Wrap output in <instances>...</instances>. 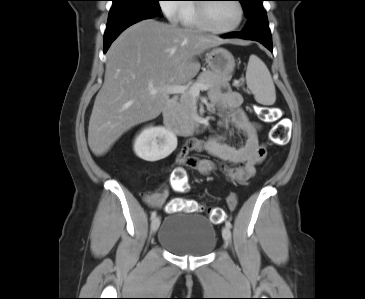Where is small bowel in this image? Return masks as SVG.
I'll list each match as a JSON object with an SVG mask.
<instances>
[{"label": "small bowel", "mask_w": 365, "mask_h": 299, "mask_svg": "<svg viewBox=\"0 0 365 299\" xmlns=\"http://www.w3.org/2000/svg\"><path fill=\"white\" fill-rule=\"evenodd\" d=\"M210 99L225 111L221 118V128L235 127L245 135V143L240 147L231 146L223 141L222 134L207 139L191 138L181 149L178 161L184 166L208 175L218 167L213 161L188 156L192 151H205L220 161L219 169L229 180L242 184L253 177L256 167L267 156L266 147L259 141V126L240 108L243 99L238 92L228 88L224 91L213 90ZM168 194L167 189H161L148 194L146 200L150 206L160 207Z\"/></svg>", "instance_id": "c3829d8e"}]
</instances>
